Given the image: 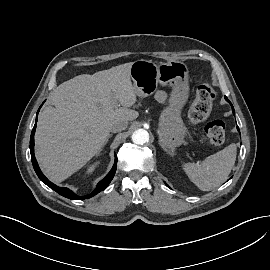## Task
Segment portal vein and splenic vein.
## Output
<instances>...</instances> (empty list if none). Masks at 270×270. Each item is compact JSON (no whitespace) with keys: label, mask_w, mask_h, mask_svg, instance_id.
<instances>
[{"label":"portal vein and splenic vein","mask_w":270,"mask_h":270,"mask_svg":"<svg viewBox=\"0 0 270 270\" xmlns=\"http://www.w3.org/2000/svg\"><path fill=\"white\" fill-rule=\"evenodd\" d=\"M113 105H114V106H117V105H118V103H117L116 100L113 101Z\"/></svg>","instance_id":"obj_1"}]
</instances>
